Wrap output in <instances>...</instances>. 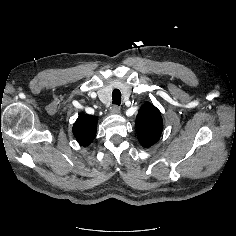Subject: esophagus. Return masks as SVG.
<instances>
[{"label":"esophagus","instance_id":"esophagus-1","mask_svg":"<svg viewBox=\"0 0 236 236\" xmlns=\"http://www.w3.org/2000/svg\"><path fill=\"white\" fill-rule=\"evenodd\" d=\"M110 112H111L112 114H119V113H120V107L117 106V105H114V106H112V107L110 108Z\"/></svg>","mask_w":236,"mask_h":236}]
</instances>
